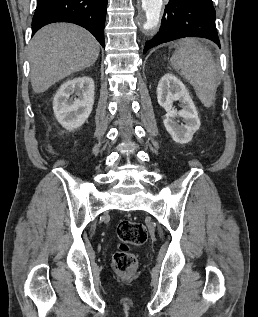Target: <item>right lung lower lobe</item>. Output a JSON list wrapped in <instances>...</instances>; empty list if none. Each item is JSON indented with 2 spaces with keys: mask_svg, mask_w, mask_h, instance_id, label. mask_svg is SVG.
<instances>
[{
  "mask_svg": "<svg viewBox=\"0 0 258 317\" xmlns=\"http://www.w3.org/2000/svg\"><path fill=\"white\" fill-rule=\"evenodd\" d=\"M107 0H37L32 19V35L54 22H69L90 31L105 47L104 26Z\"/></svg>",
  "mask_w": 258,
  "mask_h": 317,
  "instance_id": "1",
  "label": "right lung lower lobe"
}]
</instances>
